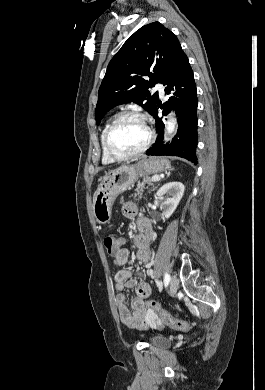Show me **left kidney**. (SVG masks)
<instances>
[{
  "mask_svg": "<svg viewBox=\"0 0 265 390\" xmlns=\"http://www.w3.org/2000/svg\"><path fill=\"white\" fill-rule=\"evenodd\" d=\"M185 187L181 182H169L164 184L154 196L157 198H163L165 194L168 195L166 200L161 203L160 209L163 211V216L169 218L175 209L177 208L183 194Z\"/></svg>",
  "mask_w": 265,
  "mask_h": 390,
  "instance_id": "1",
  "label": "left kidney"
}]
</instances>
